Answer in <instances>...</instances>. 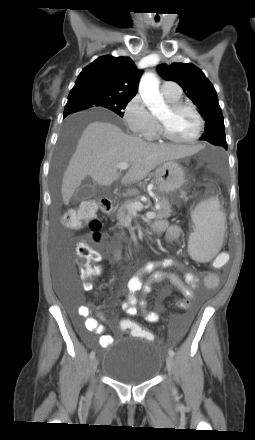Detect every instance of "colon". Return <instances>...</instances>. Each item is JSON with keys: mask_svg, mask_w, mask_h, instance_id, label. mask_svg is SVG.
Masks as SVG:
<instances>
[{"mask_svg": "<svg viewBox=\"0 0 255 440\" xmlns=\"http://www.w3.org/2000/svg\"><path fill=\"white\" fill-rule=\"evenodd\" d=\"M96 210L97 206L95 202L85 201L78 207L65 212L62 216V222L65 226L73 229L88 228L92 233V239L95 242H100L102 240V235L100 233L101 222L96 216ZM77 254L83 261L82 276L84 279H90L100 273L101 268L97 264L101 257L99 252L85 242H79L77 245ZM213 275L216 274L211 273L208 275L206 277V282H208ZM175 304L178 306L179 311H188L190 299L176 298ZM120 324L123 330L130 332V334L135 337L143 338L149 341L155 340V337L152 333L141 327L132 319H123L121 320Z\"/></svg>", "mask_w": 255, "mask_h": 440, "instance_id": "colon-1", "label": "colon"}]
</instances>
